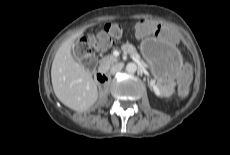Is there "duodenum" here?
Instances as JSON below:
<instances>
[{
    "label": "duodenum",
    "mask_w": 230,
    "mask_h": 155,
    "mask_svg": "<svg viewBox=\"0 0 230 155\" xmlns=\"http://www.w3.org/2000/svg\"><path fill=\"white\" fill-rule=\"evenodd\" d=\"M96 81L99 84H106L108 82V73L106 69H100L96 72Z\"/></svg>",
    "instance_id": "1"
}]
</instances>
